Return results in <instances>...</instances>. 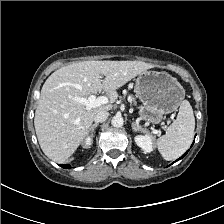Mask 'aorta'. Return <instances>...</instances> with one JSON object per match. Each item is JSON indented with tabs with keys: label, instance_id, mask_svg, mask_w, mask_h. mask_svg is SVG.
Segmentation results:
<instances>
[{
	"label": "aorta",
	"instance_id": "obj_1",
	"mask_svg": "<svg viewBox=\"0 0 224 224\" xmlns=\"http://www.w3.org/2000/svg\"><path fill=\"white\" fill-rule=\"evenodd\" d=\"M124 123V120L122 118V116L116 115L112 118L111 120V124L113 127H122Z\"/></svg>",
	"mask_w": 224,
	"mask_h": 224
}]
</instances>
